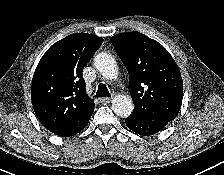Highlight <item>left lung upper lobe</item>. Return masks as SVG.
<instances>
[{
  "label": "left lung upper lobe",
  "instance_id": "1",
  "mask_svg": "<svg viewBox=\"0 0 224 175\" xmlns=\"http://www.w3.org/2000/svg\"><path fill=\"white\" fill-rule=\"evenodd\" d=\"M111 42L126 66L135 105L131 117L172 121L183 98L179 68L157 41L139 32L120 33Z\"/></svg>",
  "mask_w": 224,
  "mask_h": 175
}]
</instances>
